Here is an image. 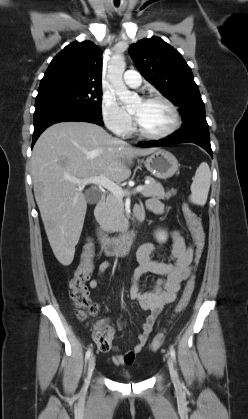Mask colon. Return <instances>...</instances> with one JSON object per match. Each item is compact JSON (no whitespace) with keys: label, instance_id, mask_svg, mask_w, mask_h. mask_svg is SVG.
Returning a JSON list of instances; mask_svg holds the SVG:
<instances>
[{"label":"colon","instance_id":"colon-1","mask_svg":"<svg viewBox=\"0 0 248 419\" xmlns=\"http://www.w3.org/2000/svg\"><path fill=\"white\" fill-rule=\"evenodd\" d=\"M183 215L186 220L188 229L195 245L196 258L199 259L204 246V233L200 218L190 209L188 205L183 206ZM94 244L92 240H88L82 251V258L79 266L74 272L69 282L70 297L75 304L77 317L81 320H87L93 317L98 307L89 297L86 286L90 278L93 268ZM195 288V279L190 277L183 289L182 296L175 308V313L179 314L189 304ZM113 330L104 323H97L93 328V341L98 345H105L112 340ZM165 340V332L159 333L150 343V350L157 351Z\"/></svg>","mask_w":248,"mask_h":419}]
</instances>
